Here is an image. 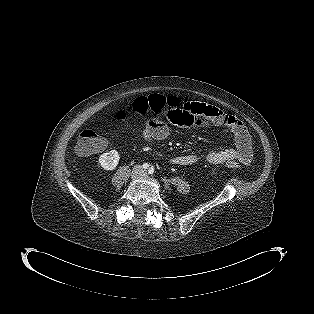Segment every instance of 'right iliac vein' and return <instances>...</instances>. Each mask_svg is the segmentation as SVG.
I'll use <instances>...</instances> for the list:
<instances>
[{"label": "right iliac vein", "mask_w": 314, "mask_h": 314, "mask_svg": "<svg viewBox=\"0 0 314 314\" xmlns=\"http://www.w3.org/2000/svg\"><path fill=\"white\" fill-rule=\"evenodd\" d=\"M139 170L138 169H135L133 172H132V179H136L139 177Z\"/></svg>", "instance_id": "right-iliac-vein-1"}]
</instances>
